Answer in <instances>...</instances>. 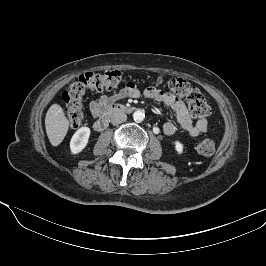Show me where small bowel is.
Segmentation results:
<instances>
[{"mask_svg":"<svg viewBox=\"0 0 266 266\" xmlns=\"http://www.w3.org/2000/svg\"><path fill=\"white\" fill-rule=\"evenodd\" d=\"M141 95L172 109L176 114L179 125L191 136L197 137L208 130L207 120L202 118L194 122L184 102L175 95L155 87H147L141 92L133 83H128L124 89L112 96L102 95L92 100L90 103V112L94 117H97L103 112L105 107L115 101L125 97L139 98ZM162 129L165 135L171 136L175 133L176 126L173 122L166 121Z\"/></svg>","mask_w":266,"mask_h":266,"instance_id":"small-bowel-1","label":"small bowel"}]
</instances>
